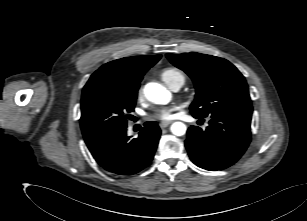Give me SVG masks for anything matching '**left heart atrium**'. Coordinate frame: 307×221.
<instances>
[{"instance_id": "39dd6f15", "label": "left heart atrium", "mask_w": 307, "mask_h": 221, "mask_svg": "<svg viewBox=\"0 0 307 221\" xmlns=\"http://www.w3.org/2000/svg\"><path fill=\"white\" fill-rule=\"evenodd\" d=\"M174 107H163L159 108L154 111V113L151 115V119L158 120V121H169L174 116Z\"/></svg>"}]
</instances>
